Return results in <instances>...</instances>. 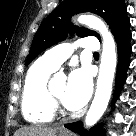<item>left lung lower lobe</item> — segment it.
<instances>
[{
    "mask_svg": "<svg viewBox=\"0 0 136 136\" xmlns=\"http://www.w3.org/2000/svg\"><path fill=\"white\" fill-rule=\"evenodd\" d=\"M115 40L117 42L118 49V66L116 73V85H115V94L113 102L119 96L123 84L126 80V72L130 64V55H131V32H130V20L126 17L119 27L113 32ZM66 128L70 129L73 132L79 133L82 136H105V130L102 128V125H98L94 128H91L90 131L83 130V125L81 121L66 124Z\"/></svg>",
    "mask_w": 136,
    "mask_h": 136,
    "instance_id": "left-lung-lower-lobe-1",
    "label": "left lung lower lobe"
}]
</instances>
